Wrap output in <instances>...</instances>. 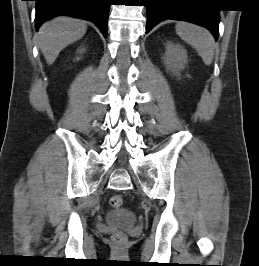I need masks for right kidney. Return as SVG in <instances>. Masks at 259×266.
I'll return each instance as SVG.
<instances>
[{
  "label": "right kidney",
  "mask_w": 259,
  "mask_h": 266,
  "mask_svg": "<svg viewBox=\"0 0 259 266\" xmlns=\"http://www.w3.org/2000/svg\"><path fill=\"white\" fill-rule=\"evenodd\" d=\"M84 51V49H80L79 52L82 53Z\"/></svg>",
  "instance_id": "ca27d5eb"
}]
</instances>
